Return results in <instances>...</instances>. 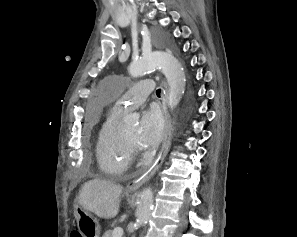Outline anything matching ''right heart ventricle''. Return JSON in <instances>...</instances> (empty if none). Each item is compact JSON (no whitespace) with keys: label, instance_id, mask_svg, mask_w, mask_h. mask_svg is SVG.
<instances>
[{"label":"right heart ventricle","instance_id":"obj_1","mask_svg":"<svg viewBox=\"0 0 297 237\" xmlns=\"http://www.w3.org/2000/svg\"><path fill=\"white\" fill-rule=\"evenodd\" d=\"M120 113L110 112L102 123L96 142V159L100 170L108 176L123 174L132 161V153L117 128Z\"/></svg>","mask_w":297,"mask_h":237}]
</instances>
